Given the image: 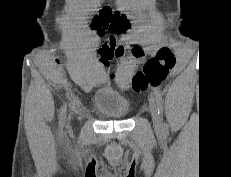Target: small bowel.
Returning <instances> with one entry per match:
<instances>
[{"mask_svg": "<svg viewBox=\"0 0 231 177\" xmlns=\"http://www.w3.org/2000/svg\"><path fill=\"white\" fill-rule=\"evenodd\" d=\"M120 7H121V6H120ZM149 50H150L151 53H153V52L155 51V47H154V46H153V47H150Z\"/></svg>", "mask_w": 231, "mask_h": 177, "instance_id": "1", "label": "small bowel"}]
</instances>
